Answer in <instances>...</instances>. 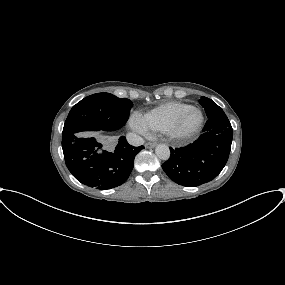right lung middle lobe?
<instances>
[{"instance_id":"dd1d6c3e","label":"right lung middle lobe","mask_w":285,"mask_h":285,"mask_svg":"<svg viewBox=\"0 0 285 285\" xmlns=\"http://www.w3.org/2000/svg\"><path fill=\"white\" fill-rule=\"evenodd\" d=\"M133 103L110 93L90 95L72 107L65 121L63 137L84 131H116L123 127Z\"/></svg>"}]
</instances>
